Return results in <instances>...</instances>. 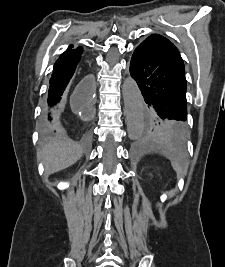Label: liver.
Returning a JSON list of instances; mask_svg holds the SVG:
<instances>
[{
    "label": "liver",
    "instance_id": "liver-1",
    "mask_svg": "<svg viewBox=\"0 0 225 267\" xmlns=\"http://www.w3.org/2000/svg\"><path fill=\"white\" fill-rule=\"evenodd\" d=\"M80 145L66 137H60L37 152V157L44 163L47 175L59 172L75 164L82 156Z\"/></svg>",
    "mask_w": 225,
    "mask_h": 267
}]
</instances>
